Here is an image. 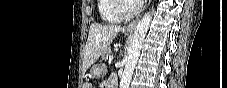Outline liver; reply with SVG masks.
Masks as SVG:
<instances>
[{
	"label": "liver",
	"mask_w": 227,
	"mask_h": 88,
	"mask_svg": "<svg viewBox=\"0 0 227 88\" xmlns=\"http://www.w3.org/2000/svg\"><path fill=\"white\" fill-rule=\"evenodd\" d=\"M121 31L120 26L102 25L93 23L89 28L88 39L84 48V68H89L95 63L103 51H105L118 32Z\"/></svg>",
	"instance_id": "1"
}]
</instances>
